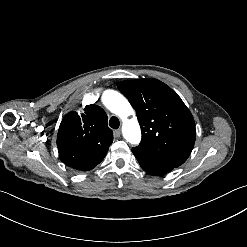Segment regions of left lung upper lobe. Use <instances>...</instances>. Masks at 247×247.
Segmentation results:
<instances>
[{
  "label": "left lung upper lobe",
  "instance_id": "1",
  "mask_svg": "<svg viewBox=\"0 0 247 247\" xmlns=\"http://www.w3.org/2000/svg\"><path fill=\"white\" fill-rule=\"evenodd\" d=\"M118 88L136 110L142 140L136 150L178 167L189 157L196 137L193 116L181 98L154 79L120 82Z\"/></svg>",
  "mask_w": 247,
  "mask_h": 247
}]
</instances>
